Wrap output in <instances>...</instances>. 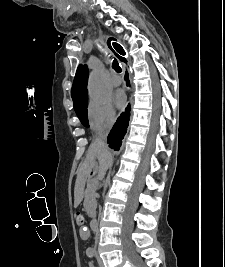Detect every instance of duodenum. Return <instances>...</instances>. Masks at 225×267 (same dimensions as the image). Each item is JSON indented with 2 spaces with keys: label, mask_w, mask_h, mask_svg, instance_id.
I'll use <instances>...</instances> for the list:
<instances>
[{
  "label": "duodenum",
  "mask_w": 225,
  "mask_h": 267,
  "mask_svg": "<svg viewBox=\"0 0 225 267\" xmlns=\"http://www.w3.org/2000/svg\"><path fill=\"white\" fill-rule=\"evenodd\" d=\"M91 228H92L93 230H96V229L98 228V221H97V219L93 218V219L91 220Z\"/></svg>",
  "instance_id": "obj_1"
}]
</instances>
